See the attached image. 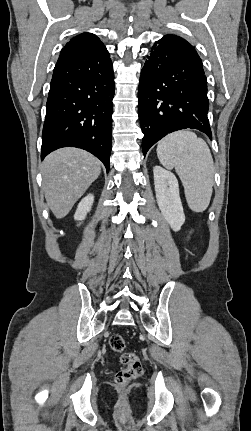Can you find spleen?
<instances>
[{"instance_id":"spleen-1","label":"spleen","mask_w":251,"mask_h":431,"mask_svg":"<svg viewBox=\"0 0 251 431\" xmlns=\"http://www.w3.org/2000/svg\"><path fill=\"white\" fill-rule=\"evenodd\" d=\"M157 156L167 169L175 168L184 186L188 206L203 212L213 192L214 163L207 143L191 131L171 133L159 141Z\"/></svg>"}]
</instances>
